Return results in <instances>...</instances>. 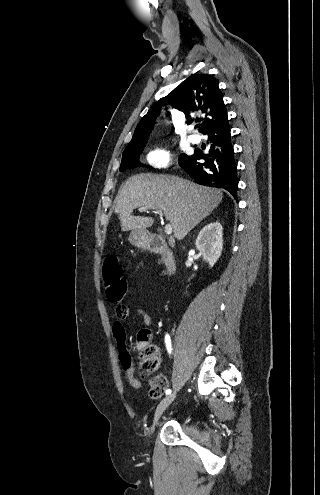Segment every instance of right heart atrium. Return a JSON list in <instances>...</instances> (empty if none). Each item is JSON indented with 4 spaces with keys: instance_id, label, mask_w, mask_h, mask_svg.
Wrapping results in <instances>:
<instances>
[{
    "instance_id": "1",
    "label": "right heart atrium",
    "mask_w": 320,
    "mask_h": 495,
    "mask_svg": "<svg viewBox=\"0 0 320 495\" xmlns=\"http://www.w3.org/2000/svg\"><path fill=\"white\" fill-rule=\"evenodd\" d=\"M170 158V152L161 147L152 149L146 156L147 162L155 167H164L168 165Z\"/></svg>"
}]
</instances>
